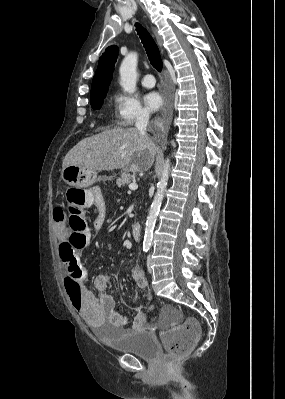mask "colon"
I'll use <instances>...</instances> for the list:
<instances>
[{"label": "colon", "instance_id": "obj_1", "mask_svg": "<svg viewBox=\"0 0 285 399\" xmlns=\"http://www.w3.org/2000/svg\"><path fill=\"white\" fill-rule=\"evenodd\" d=\"M85 198L84 191L69 190L65 195L62 207L65 209L63 219L70 234L66 241L60 245V259L68 266H75L78 251L85 247L92 237V232L87 224L86 216L82 210ZM65 288L72 304L79 306L82 287L78 282L65 279ZM201 334L199 325L194 320H179L162 334L167 351L164 363L169 368L179 357L188 354Z\"/></svg>", "mask_w": 285, "mask_h": 399}]
</instances>
